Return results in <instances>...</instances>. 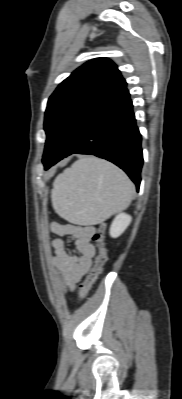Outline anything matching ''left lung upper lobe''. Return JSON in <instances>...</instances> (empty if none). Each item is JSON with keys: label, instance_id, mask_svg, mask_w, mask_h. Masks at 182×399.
Here are the masks:
<instances>
[{"label": "left lung upper lobe", "instance_id": "obj_1", "mask_svg": "<svg viewBox=\"0 0 182 399\" xmlns=\"http://www.w3.org/2000/svg\"><path fill=\"white\" fill-rule=\"evenodd\" d=\"M126 84L117 66L106 58L85 63L65 79L48 100L43 164L56 159L87 118Z\"/></svg>", "mask_w": 182, "mask_h": 399}]
</instances>
